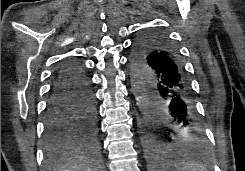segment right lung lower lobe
Here are the masks:
<instances>
[{
	"instance_id": "obj_1",
	"label": "right lung lower lobe",
	"mask_w": 245,
	"mask_h": 171,
	"mask_svg": "<svg viewBox=\"0 0 245 171\" xmlns=\"http://www.w3.org/2000/svg\"><path fill=\"white\" fill-rule=\"evenodd\" d=\"M97 135V111L89 77L78 60L67 59L56 71L47 102L48 157L55 158L76 146H94Z\"/></svg>"
}]
</instances>
